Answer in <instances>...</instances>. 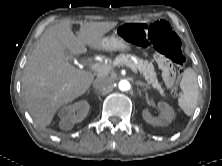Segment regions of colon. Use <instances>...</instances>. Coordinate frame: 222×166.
I'll list each match as a JSON object with an SVG mask.
<instances>
[{
  "instance_id": "colon-1",
  "label": "colon",
  "mask_w": 222,
  "mask_h": 166,
  "mask_svg": "<svg viewBox=\"0 0 222 166\" xmlns=\"http://www.w3.org/2000/svg\"><path fill=\"white\" fill-rule=\"evenodd\" d=\"M120 37L140 47L152 45L163 57L161 69L165 84L178 95L177 82L184 72L186 58L178 35L164 20L152 23H129L118 31ZM177 67V68H176Z\"/></svg>"
}]
</instances>
